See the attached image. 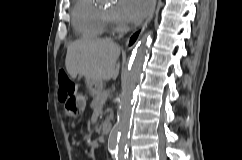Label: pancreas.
Returning a JSON list of instances; mask_svg holds the SVG:
<instances>
[{
	"label": "pancreas",
	"instance_id": "cf45deb5",
	"mask_svg": "<svg viewBox=\"0 0 242 160\" xmlns=\"http://www.w3.org/2000/svg\"><path fill=\"white\" fill-rule=\"evenodd\" d=\"M107 97V91L106 90H102L101 92H99L94 98L93 101L91 103V108L92 109H102L103 107V101L106 99Z\"/></svg>",
	"mask_w": 242,
	"mask_h": 160
}]
</instances>
